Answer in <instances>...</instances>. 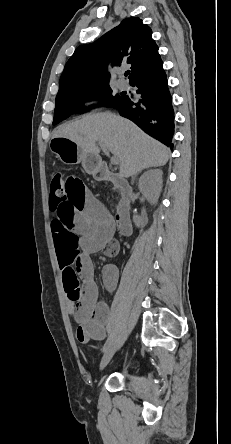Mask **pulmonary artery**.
<instances>
[{"instance_id":"1","label":"pulmonary artery","mask_w":231,"mask_h":444,"mask_svg":"<svg viewBox=\"0 0 231 444\" xmlns=\"http://www.w3.org/2000/svg\"><path fill=\"white\" fill-rule=\"evenodd\" d=\"M118 87L121 89H127L128 88V82L124 79H119L118 82Z\"/></svg>"}]
</instances>
